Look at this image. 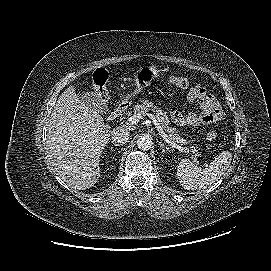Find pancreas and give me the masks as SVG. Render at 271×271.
<instances>
[{
  "label": "pancreas",
  "instance_id": "obj_1",
  "mask_svg": "<svg viewBox=\"0 0 271 271\" xmlns=\"http://www.w3.org/2000/svg\"><path fill=\"white\" fill-rule=\"evenodd\" d=\"M149 110H152L154 112L155 117L158 119V122L160 123L162 129L166 131L172 141L180 143L182 145L189 144L188 141L180 137L175 128L170 126V121L166 112L163 111L160 107L155 106L152 102H149L148 100H142L141 104H137L133 107V114L143 115ZM131 114L132 112L128 113V115ZM192 151L195 152V149H192Z\"/></svg>",
  "mask_w": 271,
  "mask_h": 271
}]
</instances>
